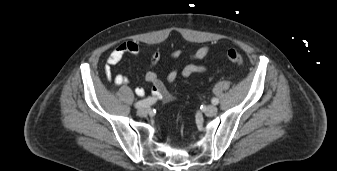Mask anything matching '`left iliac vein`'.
Listing matches in <instances>:
<instances>
[{
  "mask_svg": "<svg viewBox=\"0 0 337 171\" xmlns=\"http://www.w3.org/2000/svg\"><path fill=\"white\" fill-rule=\"evenodd\" d=\"M204 113L209 117L215 116L217 113V107L214 105H209L205 108Z\"/></svg>",
  "mask_w": 337,
  "mask_h": 171,
  "instance_id": "4c4485c4",
  "label": "left iliac vein"
}]
</instances>
